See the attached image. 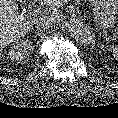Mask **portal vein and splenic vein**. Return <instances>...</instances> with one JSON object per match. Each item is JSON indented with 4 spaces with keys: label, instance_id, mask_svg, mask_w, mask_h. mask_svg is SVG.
<instances>
[{
    "label": "portal vein and splenic vein",
    "instance_id": "1",
    "mask_svg": "<svg viewBox=\"0 0 118 118\" xmlns=\"http://www.w3.org/2000/svg\"><path fill=\"white\" fill-rule=\"evenodd\" d=\"M52 3V0H48V4H51Z\"/></svg>",
    "mask_w": 118,
    "mask_h": 118
}]
</instances>
